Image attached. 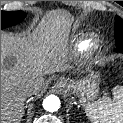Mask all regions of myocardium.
<instances>
[{"label": "myocardium", "mask_w": 123, "mask_h": 123, "mask_svg": "<svg viewBox=\"0 0 123 123\" xmlns=\"http://www.w3.org/2000/svg\"><path fill=\"white\" fill-rule=\"evenodd\" d=\"M100 38L98 35L92 34L90 37L82 42V49L86 52H92L99 46Z\"/></svg>", "instance_id": "myocardium-1"}]
</instances>
